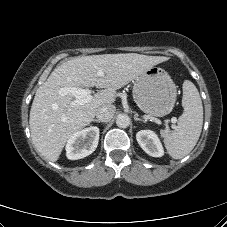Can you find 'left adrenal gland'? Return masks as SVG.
I'll return each mask as SVG.
<instances>
[{"mask_svg": "<svg viewBox=\"0 0 227 227\" xmlns=\"http://www.w3.org/2000/svg\"><path fill=\"white\" fill-rule=\"evenodd\" d=\"M134 120H135V121L145 122L143 119L138 118L137 114L134 116Z\"/></svg>", "mask_w": 227, "mask_h": 227, "instance_id": "a2214340", "label": "left adrenal gland"}]
</instances>
